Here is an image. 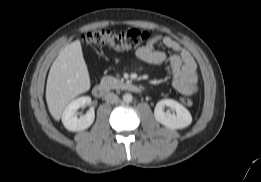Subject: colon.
I'll return each mask as SVG.
<instances>
[{
    "mask_svg": "<svg viewBox=\"0 0 261 182\" xmlns=\"http://www.w3.org/2000/svg\"><path fill=\"white\" fill-rule=\"evenodd\" d=\"M83 43L88 47L108 46L117 50H133L144 46L150 40L147 31L128 29L125 31L92 30L82 36ZM187 105L193 104L190 97L183 98Z\"/></svg>",
    "mask_w": 261,
    "mask_h": 182,
    "instance_id": "5ec220e1",
    "label": "colon"
}]
</instances>
